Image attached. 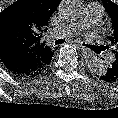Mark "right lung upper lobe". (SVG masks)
<instances>
[{"mask_svg":"<svg viewBox=\"0 0 118 118\" xmlns=\"http://www.w3.org/2000/svg\"><path fill=\"white\" fill-rule=\"evenodd\" d=\"M61 1L18 0L4 9L0 13V56L29 55L36 59L40 72L45 70L54 53L41 37ZM10 13H15L14 18Z\"/></svg>","mask_w":118,"mask_h":118,"instance_id":"1","label":"right lung upper lobe"}]
</instances>
